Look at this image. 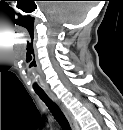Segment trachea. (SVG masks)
Returning a JSON list of instances; mask_svg holds the SVG:
<instances>
[{
  "instance_id": "trachea-1",
  "label": "trachea",
  "mask_w": 123,
  "mask_h": 130,
  "mask_svg": "<svg viewBox=\"0 0 123 130\" xmlns=\"http://www.w3.org/2000/svg\"><path fill=\"white\" fill-rule=\"evenodd\" d=\"M36 94L48 106L53 117L59 123V125L62 127V129L71 130L69 123H68L65 115L63 114V112L60 110V108L55 103H53L44 92H36Z\"/></svg>"
}]
</instances>
